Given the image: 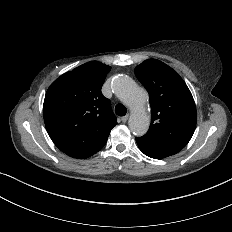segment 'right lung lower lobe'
<instances>
[{"instance_id":"1","label":"right lung lower lobe","mask_w":232,"mask_h":232,"mask_svg":"<svg viewBox=\"0 0 232 232\" xmlns=\"http://www.w3.org/2000/svg\"><path fill=\"white\" fill-rule=\"evenodd\" d=\"M100 149L93 151V152H88V153H73V154H67V155L73 158H77V159H85V158L92 156L93 154L98 152Z\"/></svg>"}]
</instances>
